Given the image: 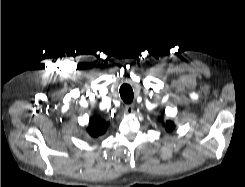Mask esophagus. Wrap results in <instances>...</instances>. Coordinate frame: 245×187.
Listing matches in <instances>:
<instances>
[{
  "label": "esophagus",
  "instance_id": "1",
  "mask_svg": "<svg viewBox=\"0 0 245 187\" xmlns=\"http://www.w3.org/2000/svg\"><path fill=\"white\" fill-rule=\"evenodd\" d=\"M125 111L128 114H132L134 111V105L133 104H128L125 106Z\"/></svg>",
  "mask_w": 245,
  "mask_h": 187
}]
</instances>
